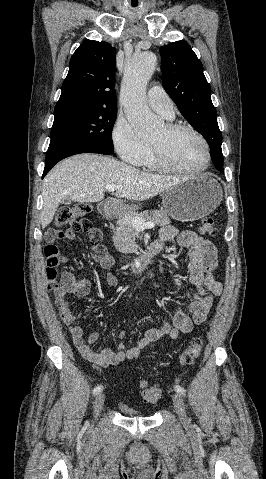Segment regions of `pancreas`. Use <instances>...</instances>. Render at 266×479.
Segmentation results:
<instances>
[{
	"label": "pancreas",
	"mask_w": 266,
	"mask_h": 479,
	"mask_svg": "<svg viewBox=\"0 0 266 479\" xmlns=\"http://www.w3.org/2000/svg\"><path fill=\"white\" fill-rule=\"evenodd\" d=\"M134 217H139L145 222H153L158 226H166L170 223V219L163 210H153L139 214L128 212L124 214V216L117 221V227L112 226L114 232V246L117 251L124 254L137 252L138 245L136 243V229L131 223V220Z\"/></svg>",
	"instance_id": "pancreas-1"
}]
</instances>
